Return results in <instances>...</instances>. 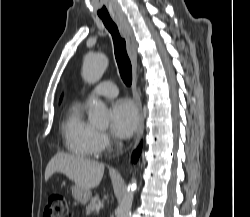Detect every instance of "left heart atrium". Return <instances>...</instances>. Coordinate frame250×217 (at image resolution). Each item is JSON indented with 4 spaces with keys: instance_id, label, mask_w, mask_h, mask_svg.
Returning <instances> with one entry per match:
<instances>
[{
    "instance_id": "39dd6f15",
    "label": "left heart atrium",
    "mask_w": 250,
    "mask_h": 217,
    "mask_svg": "<svg viewBox=\"0 0 250 217\" xmlns=\"http://www.w3.org/2000/svg\"><path fill=\"white\" fill-rule=\"evenodd\" d=\"M110 121L115 135L121 138L130 137L139 124L137 108L127 99L117 100L110 108Z\"/></svg>"
}]
</instances>
